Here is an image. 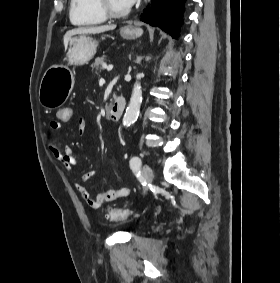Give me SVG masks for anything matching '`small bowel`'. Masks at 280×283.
I'll return each instance as SVG.
<instances>
[{
    "instance_id": "1",
    "label": "small bowel",
    "mask_w": 280,
    "mask_h": 283,
    "mask_svg": "<svg viewBox=\"0 0 280 283\" xmlns=\"http://www.w3.org/2000/svg\"><path fill=\"white\" fill-rule=\"evenodd\" d=\"M76 120L79 131L83 132L87 126L86 119L83 116H78ZM50 128L54 131L60 130L61 122H59L58 116L57 120H54L50 123ZM50 151L55 157V159H57L68 171H72L73 167L76 166L78 163L76 155L74 154L73 150L68 146L61 148L56 144H51ZM94 175V171H89L84 174H81L74 180L75 187L84 198L88 207L92 209H99L104 203L114 201L118 198L127 197L130 194L129 188L121 187L103 191L99 193L96 197H93L90 191L83 185V183L91 180Z\"/></svg>"
}]
</instances>
